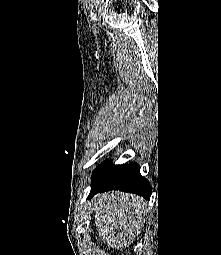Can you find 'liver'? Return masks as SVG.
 Segmentation results:
<instances>
[{
  "label": "liver",
  "mask_w": 221,
  "mask_h": 255,
  "mask_svg": "<svg viewBox=\"0 0 221 255\" xmlns=\"http://www.w3.org/2000/svg\"><path fill=\"white\" fill-rule=\"evenodd\" d=\"M95 225L104 244L113 249L128 247L145 222L146 200L135 194L110 191L92 199Z\"/></svg>",
  "instance_id": "obj_1"
}]
</instances>
